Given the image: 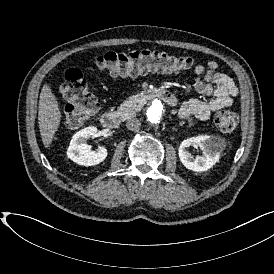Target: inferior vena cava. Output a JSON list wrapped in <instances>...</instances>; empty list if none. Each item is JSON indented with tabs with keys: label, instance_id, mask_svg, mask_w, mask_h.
I'll return each mask as SVG.
<instances>
[{
	"label": "inferior vena cava",
	"instance_id": "1",
	"mask_svg": "<svg viewBox=\"0 0 274 274\" xmlns=\"http://www.w3.org/2000/svg\"><path fill=\"white\" fill-rule=\"evenodd\" d=\"M141 126V122L137 118H129L126 122V127L129 130H137Z\"/></svg>",
	"mask_w": 274,
	"mask_h": 274
}]
</instances>
